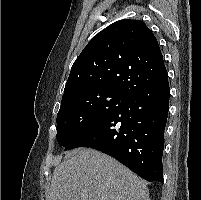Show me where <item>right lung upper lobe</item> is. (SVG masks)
Listing matches in <instances>:
<instances>
[{
    "mask_svg": "<svg viewBox=\"0 0 201 200\" xmlns=\"http://www.w3.org/2000/svg\"><path fill=\"white\" fill-rule=\"evenodd\" d=\"M167 74L157 39L141 20H119L93 37L74 62L62 102L90 91L129 96Z\"/></svg>",
    "mask_w": 201,
    "mask_h": 200,
    "instance_id": "cb5924a9",
    "label": "right lung upper lobe"
}]
</instances>
